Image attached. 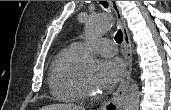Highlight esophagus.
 <instances>
[{
	"label": "esophagus",
	"mask_w": 171,
	"mask_h": 110,
	"mask_svg": "<svg viewBox=\"0 0 171 110\" xmlns=\"http://www.w3.org/2000/svg\"><path fill=\"white\" fill-rule=\"evenodd\" d=\"M119 27L123 32V45L125 50V72L117 90L113 93L111 99L102 105V110H119L124 101L132 72V47L131 39L126 26V21L121 13V9L116 1H109Z\"/></svg>",
	"instance_id": "esophagus-1"
}]
</instances>
